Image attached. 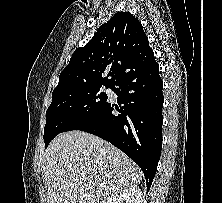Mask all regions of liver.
Listing matches in <instances>:
<instances>
[{"label":"liver","instance_id":"1","mask_svg":"<svg viewBox=\"0 0 222 203\" xmlns=\"http://www.w3.org/2000/svg\"><path fill=\"white\" fill-rule=\"evenodd\" d=\"M142 175L122 151L83 131L59 134L45 152L47 203H107L140 184Z\"/></svg>","mask_w":222,"mask_h":203}]
</instances>
